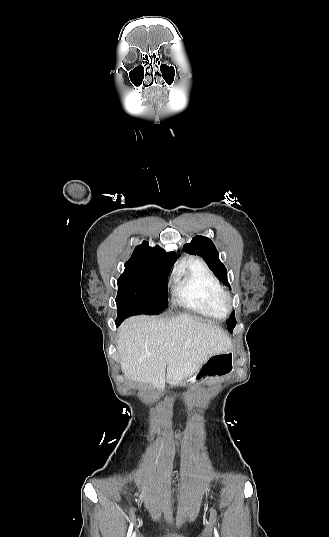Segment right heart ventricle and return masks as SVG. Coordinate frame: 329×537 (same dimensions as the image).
Returning <instances> with one entry per match:
<instances>
[{
    "label": "right heart ventricle",
    "instance_id": "obj_1",
    "mask_svg": "<svg viewBox=\"0 0 329 537\" xmlns=\"http://www.w3.org/2000/svg\"><path fill=\"white\" fill-rule=\"evenodd\" d=\"M221 290L218 279L200 260H193L180 267L173 281V295L178 304L216 318L225 315L218 303Z\"/></svg>",
    "mask_w": 329,
    "mask_h": 537
}]
</instances>
